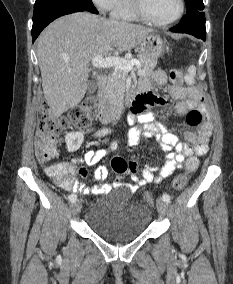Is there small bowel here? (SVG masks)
Listing matches in <instances>:
<instances>
[{"instance_id":"obj_1","label":"small bowel","mask_w":233,"mask_h":284,"mask_svg":"<svg viewBox=\"0 0 233 284\" xmlns=\"http://www.w3.org/2000/svg\"><path fill=\"white\" fill-rule=\"evenodd\" d=\"M167 83V76L163 70H156L151 76V80L143 79L140 82L142 93L137 97L133 110L129 116V122L139 124L131 131L132 140H137L140 136H156L163 151L168 152L164 165L158 174L154 173V168L146 165L139 171L137 163L129 162L125 175L129 176L138 186L149 183H159L164 178L173 174L176 169H180L185 160L191 156H203L208 152V143L211 137L212 128L208 120H205L197 132H186L187 142H180L179 138L171 133L167 127L154 122L153 115L148 108L154 105H166L169 100L166 97L157 96L150 92L152 84L164 86ZM169 93L174 101V109L178 114H184L189 109L200 108L203 104L202 94L194 87L170 86ZM116 142L111 143V149H116ZM107 154L105 149L87 150L81 158L73 162H62L49 165L45 168L46 174L51 177L60 187L83 194L104 192L110 189V185L86 186L77 179V176L86 178L88 171L85 165L92 166L100 162ZM109 175V170L105 166H99L93 172L96 181L105 180ZM118 185V183H114Z\"/></svg>"}]
</instances>
